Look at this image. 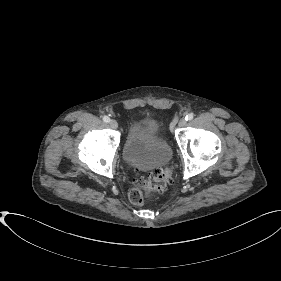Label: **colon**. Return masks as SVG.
Returning <instances> with one entry per match:
<instances>
[{
	"mask_svg": "<svg viewBox=\"0 0 281 281\" xmlns=\"http://www.w3.org/2000/svg\"><path fill=\"white\" fill-rule=\"evenodd\" d=\"M137 185L130 189L129 199L134 205H143L147 192H163L172 183L170 169H158L148 177L137 178Z\"/></svg>",
	"mask_w": 281,
	"mask_h": 281,
	"instance_id": "obj_1",
	"label": "colon"
}]
</instances>
